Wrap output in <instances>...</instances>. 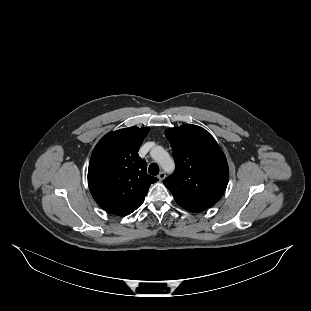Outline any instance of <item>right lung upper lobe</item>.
<instances>
[{
	"label": "right lung upper lobe",
	"mask_w": 311,
	"mask_h": 311,
	"mask_svg": "<svg viewBox=\"0 0 311 311\" xmlns=\"http://www.w3.org/2000/svg\"><path fill=\"white\" fill-rule=\"evenodd\" d=\"M150 128L130 127L106 134L95 146L88 168V185L105 211L125 216L135 211L156 177L138 150Z\"/></svg>",
	"instance_id": "cb5924a9"
}]
</instances>
